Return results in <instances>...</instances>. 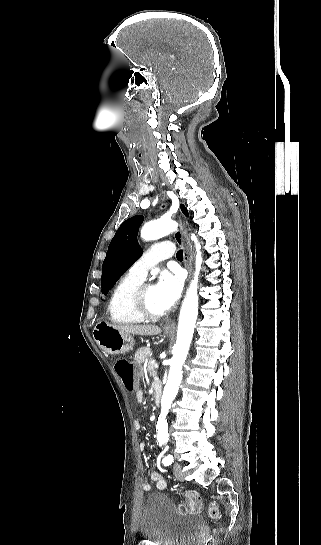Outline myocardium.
I'll return each mask as SVG.
<instances>
[{
  "instance_id": "f54148a6",
  "label": "myocardium",
  "mask_w": 321,
  "mask_h": 545,
  "mask_svg": "<svg viewBox=\"0 0 321 545\" xmlns=\"http://www.w3.org/2000/svg\"><path fill=\"white\" fill-rule=\"evenodd\" d=\"M150 286L147 283H141L132 291L130 295L129 307L134 315L141 318L142 320H158L165 316V313H154L147 310L143 304V293L145 289Z\"/></svg>"
}]
</instances>
